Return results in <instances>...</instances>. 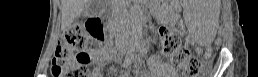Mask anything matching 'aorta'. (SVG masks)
<instances>
[{"instance_id":"1","label":"aorta","mask_w":258,"mask_h":77,"mask_svg":"<svg viewBox=\"0 0 258 77\" xmlns=\"http://www.w3.org/2000/svg\"><path fill=\"white\" fill-rule=\"evenodd\" d=\"M131 16L135 21L140 22L142 19V12L139 3L136 1L131 8Z\"/></svg>"}]
</instances>
